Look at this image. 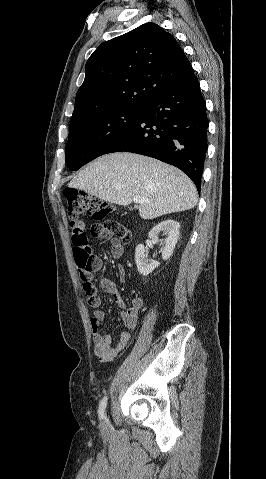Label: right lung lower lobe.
<instances>
[{"mask_svg":"<svg viewBox=\"0 0 266 479\" xmlns=\"http://www.w3.org/2000/svg\"><path fill=\"white\" fill-rule=\"evenodd\" d=\"M205 100L195 75L154 96L104 154L132 152L178 167L201 187L208 148Z\"/></svg>","mask_w":266,"mask_h":479,"instance_id":"right-lung-lower-lobe-1","label":"right lung lower lobe"}]
</instances>
